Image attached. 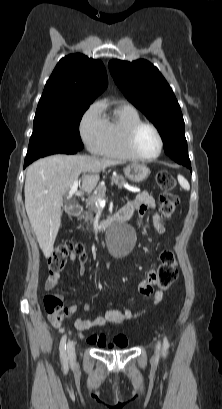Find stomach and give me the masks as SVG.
<instances>
[{"label": "stomach", "instance_id": "1", "mask_svg": "<svg viewBox=\"0 0 222 409\" xmlns=\"http://www.w3.org/2000/svg\"><path fill=\"white\" fill-rule=\"evenodd\" d=\"M125 176L134 182H142L150 174L149 168L142 163H132L124 168Z\"/></svg>", "mask_w": 222, "mask_h": 409}]
</instances>
